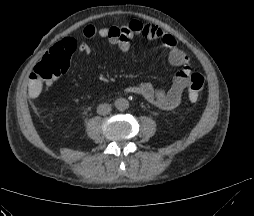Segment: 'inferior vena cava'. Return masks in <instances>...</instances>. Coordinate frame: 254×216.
<instances>
[{"label": "inferior vena cava", "instance_id": "1", "mask_svg": "<svg viewBox=\"0 0 254 216\" xmlns=\"http://www.w3.org/2000/svg\"><path fill=\"white\" fill-rule=\"evenodd\" d=\"M111 112V105L107 103H102L97 107V113L99 115H107Z\"/></svg>", "mask_w": 254, "mask_h": 216}]
</instances>
